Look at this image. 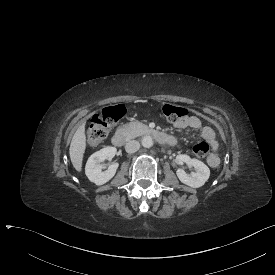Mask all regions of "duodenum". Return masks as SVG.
Segmentation results:
<instances>
[{
	"mask_svg": "<svg viewBox=\"0 0 275 275\" xmlns=\"http://www.w3.org/2000/svg\"><path fill=\"white\" fill-rule=\"evenodd\" d=\"M148 134L153 136L159 143L174 144V142H175V140L172 137H170L169 135H167L166 133L155 130V129L148 130ZM127 139L128 138H127V135L125 134V132L117 131L112 136L111 141L114 146L121 147L126 143Z\"/></svg>",
	"mask_w": 275,
	"mask_h": 275,
	"instance_id": "duodenum-1",
	"label": "duodenum"
}]
</instances>
